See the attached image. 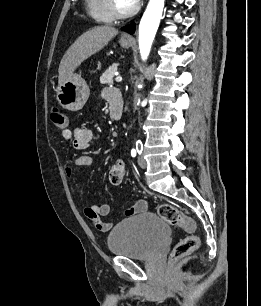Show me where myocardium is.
<instances>
[{
    "label": "myocardium",
    "instance_id": "myocardium-1",
    "mask_svg": "<svg viewBox=\"0 0 261 306\" xmlns=\"http://www.w3.org/2000/svg\"><path fill=\"white\" fill-rule=\"evenodd\" d=\"M108 7L110 12L115 18H127L135 14L138 10V4H134V6L128 10H120L115 0H107Z\"/></svg>",
    "mask_w": 261,
    "mask_h": 306
}]
</instances>
